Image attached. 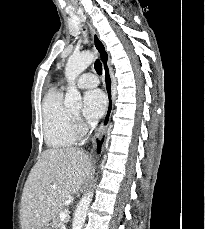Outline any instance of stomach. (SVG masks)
Returning <instances> with one entry per match:
<instances>
[{
  "mask_svg": "<svg viewBox=\"0 0 205 229\" xmlns=\"http://www.w3.org/2000/svg\"><path fill=\"white\" fill-rule=\"evenodd\" d=\"M51 227H53L51 224H48L47 226H45L43 229H51Z\"/></svg>",
  "mask_w": 205,
  "mask_h": 229,
  "instance_id": "stomach-1",
  "label": "stomach"
}]
</instances>
